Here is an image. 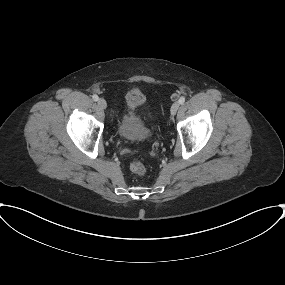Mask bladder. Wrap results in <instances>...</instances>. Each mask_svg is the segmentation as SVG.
Returning a JSON list of instances; mask_svg holds the SVG:
<instances>
[{"mask_svg": "<svg viewBox=\"0 0 285 285\" xmlns=\"http://www.w3.org/2000/svg\"><path fill=\"white\" fill-rule=\"evenodd\" d=\"M145 103V96L139 89H131L124 96L123 113L117 124V134L130 142H145L152 136L141 120L139 109Z\"/></svg>", "mask_w": 285, "mask_h": 285, "instance_id": "1", "label": "bladder"}]
</instances>
